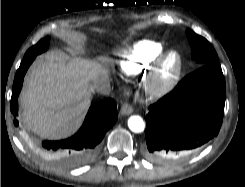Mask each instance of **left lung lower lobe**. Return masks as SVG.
I'll return each instance as SVG.
<instances>
[{
	"instance_id": "1",
	"label": "left lung lower lobe",
	"mask_w": 245,
	"mask_h": 187,
	"mask_svg": "<svg viewBox=\"0 0 245 187\" xmlns=\"http://www.w3.org/2000/svg\"><path fill=\"white\" fill-rule=\"evenodd\" d=\"M225 96V80L217 61L182 79L149 107L145 118L147 156L173 160L207 143L221 128Z\"/></svg>"
}]
</instances>
